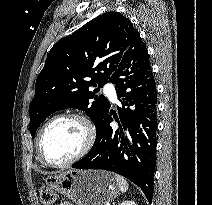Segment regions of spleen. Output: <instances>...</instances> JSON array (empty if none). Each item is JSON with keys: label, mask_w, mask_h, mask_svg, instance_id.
<instances>
[{"label": "spleen", "mask_w": 212, "mask_h": 205, "mask_svg": "<svg viewBox=\"0 0 212 205\" xmlns=\"http://www.w3.org/2000/svg\"><path fill=\"white\" fill-rule=\"evenodd\" d=\"M115 179H116L119 190L123 193L126 192L129 188V185H128L127 181L125 180V178L116 174Z\"/></svg>", "instance_id": "3e777b00"}]
</instances>
